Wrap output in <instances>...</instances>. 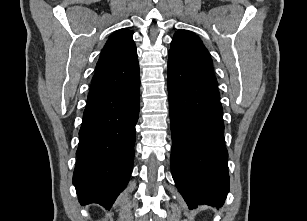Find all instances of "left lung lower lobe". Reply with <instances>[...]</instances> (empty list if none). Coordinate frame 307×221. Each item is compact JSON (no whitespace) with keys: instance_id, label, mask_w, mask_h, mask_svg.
I'll list each match as a JSON object with an SVG mask.
<instances>
[{"instance_id":"0a47b994","label":"left lung lower lobe","mask_w":307,"mask_h":221,"mask_svg":"<svg viewBox=\"0 0 307 221\" xmlns=\"http://www.w3.org/2000/svg\"><path fill=\"white\" fill-rule=\"evenodd\" d=\"M168 93L175 184L190 209L220 207L229 192V174L217 85L169 54Z\"/></svg>"}]
</instances>
